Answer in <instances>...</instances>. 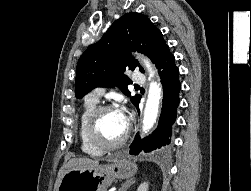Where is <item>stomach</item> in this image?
I'll return each mask as SVG.
<instances>
[{
  "label": "stomach",
  "mask_w": 251,
  "mask_h": 191,
  "mask_svg": "<svg viewBox=\"0 0 251 191\" xmlns=\"http://www.w3.org/2000/svg\"><path fill=\"white\" fill-rule=\"evenodd\" d=\"M116 159L113 163H101L95 169H71L64 173L58 191H106L112 181L135 175L136 163L126 155H117Z\"/></svg>",
  "instance_id": "stomach-1"
}]
</instances>
